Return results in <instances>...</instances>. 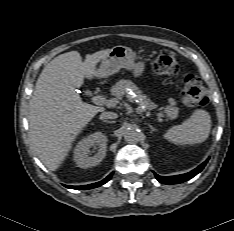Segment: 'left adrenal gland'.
<instances>
[{
	"instance_id": "a2214340",
	"label": "left adrenal gland",
	"mask_w": 234,
	"mask_h": 231,
	"mask_svg": "<svg viewBox=\"0 0 234 231\" xmlns=\"http://www.w3.org/2000/svg\"><path fill=\"white\" fill-rule=\"evenodd\" d=\"M148 126L150 128V133H153L154 131H156L157 129L154 128L151 124L148 123Z\"/></svg>"
}]
</instances>
